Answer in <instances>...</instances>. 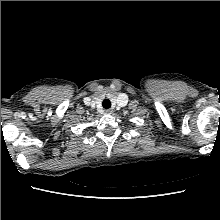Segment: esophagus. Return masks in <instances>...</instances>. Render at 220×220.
<instances>
[{
    "mask_svg": "<svg viewBox=\"0 0 220 220\" xmlns=\"http://www.w3.org/2000/svg\"><path fill=\"white\" fill-rule=\"evenodd\" d=\"M105 113H106V114H112V113H113V110H112V109H106V110H105Z\"/></svg>",
    "mask_w": 220,
    "mask_h": 220,
    "instance_id": "34e87169",
    "label": "esophagus"
}]
</instances>
